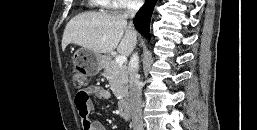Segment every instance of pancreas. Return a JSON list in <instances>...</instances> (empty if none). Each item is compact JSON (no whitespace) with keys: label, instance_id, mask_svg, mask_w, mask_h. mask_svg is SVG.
<instances>
[{"label":"pancreas","instance_id":"cf45deb5","mask_svg":"<svg viewBox=\"0 0 257 130\" xmlns=\"http://www.w3.org/2000/svg\"><path fill=\"white\" fill-rule=\"evenodd\" d=\"M103 75L109 82L110 88L117 99L122 100L128 94V71L126 66L119 65L108 59L104 65Z\"/></svg>","mask_w":257,"mask_h":130}]
</instances>
